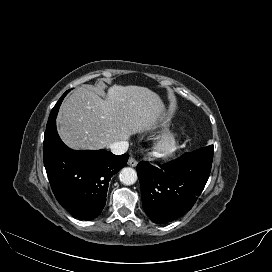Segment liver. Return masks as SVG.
<instances>
[{
    "label": "liver",
    "instance_id": "6515ba94",
    "mask_svg": "<svg viewBox=\"0 0 272 272\" xmlns=\"http://www.w3.org/2000/svg\"><path fill=\"white\" fill-rule=\"evenodd\" d=\"M164 115L163 101L146 87L113 85L105 99L79 87L62 103L56 122L67 146L97 150L151 130Z\"/></svg>",
    "mask_w": 272,
    "mask_h": 272
}]
</instances>
